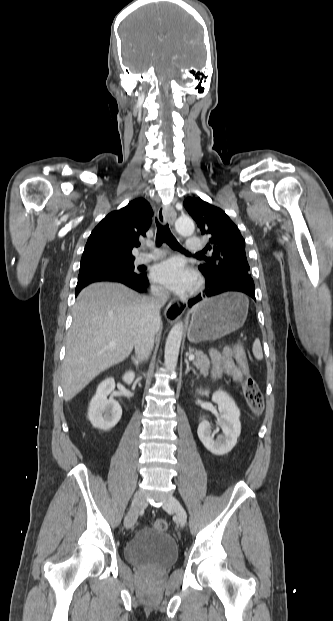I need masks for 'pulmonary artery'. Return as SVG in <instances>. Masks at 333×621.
<instances>
[{"instance_id": "e3ab8cb5", "label": "pulmonary artery", "mask_w": 333, "mask_h": 621, "mask_svg": "<svg viewBox=\"0 0 333 621\" xmlns=\"http://www.w3.org/2000/svg\"><path fill=\"white\" fill-rule=\"evenodd\" d=\"M187 251L189 252H197L203 248V241L199 237H190L187 240ZM160 256L159 250H154L152 253H140L136 258L137 263H144L153 259H156Z\"/></svg>"}]
</instances>
